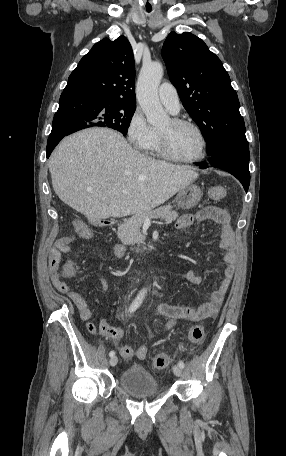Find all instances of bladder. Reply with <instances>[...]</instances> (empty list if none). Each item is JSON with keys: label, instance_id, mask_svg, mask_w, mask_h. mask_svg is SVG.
I'll return each instance as SVG.
<instances>
[{"label": "bladder", "instance_id": "31cf9c89", "mask_svg": "<svg viewBox=\"0 0 286 456\" xmlns=\"http://www.w3.org/2000/svg\"><path fill=\"white\" fill-rule=\"evenodd\" d=\"M120 387L137 399L158 395L161 391L156 378L143 366L134 364L120 376Z\"/></svg>", "mask_w": 286, "mask_h": 456}]
</instances>
